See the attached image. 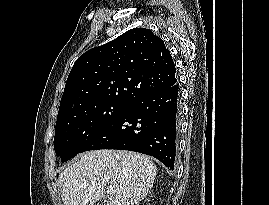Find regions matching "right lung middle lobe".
<instances>
[{
    "instance_id": "right-lung-middle-lobe-1",
    "label": "right lung middle lobe",
    "mask_w": 269,
    "mask_h": 205,
    "mask_svg": "<svg viewBox=\"0 0 269 205\" xmlns=\"http://www.w3.org/2000/svg\"><path fill=\"white\" fill-rule=\"evenodd\" d=\"M129 104L117 101L97 103L57 119L54 149L61 161L82 152Z\"/></svg>"
}]
</instances>
